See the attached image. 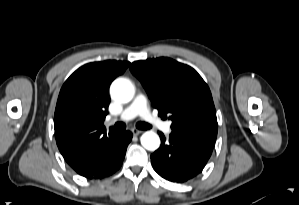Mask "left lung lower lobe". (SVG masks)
<instances>
[{
    "label": "left lung lower lobe",
    "instance_id": "obj_1",
    "mask_svg": "<svg viewBox=\"0 0 299 205\" xmlns=\"http://www.w3.org/2000/svg\"><path fill=\"white\" fill-rule=\"evenodd\" d=\"M217 132L172 130L166 142L151 155L154 170L163 178L177 183L198 175L205 167L216 141Z\"/></svg>",
    "mask_w": 299,
    "mask_h": 205
}]
</instances>
